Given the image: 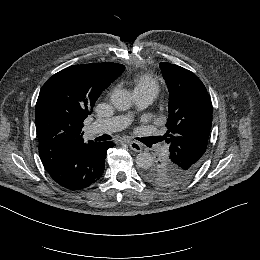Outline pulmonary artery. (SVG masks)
Masks as SVG:
<instances>
[{
    "label": "pulmonary artery",
    "mask_w": 260,
    "mask_h": 260,
    "mask_svg": "<svg viewBox=\"0 0 260 260\" xmlns=\"http://www.w3.org/2000/svg\"><path fill=\"white\" fill-rule=\"evenodd\" d=\"M154 97L150 94H135L134 100L129 103L122 116H116L110 119L99 120L91 123L87 127L88 135L116 133L122 128H129L135 121L138 113L148 106Z\"/></svg>",
    "instance_id": "e3ab8cb5"
}]
</instances>
